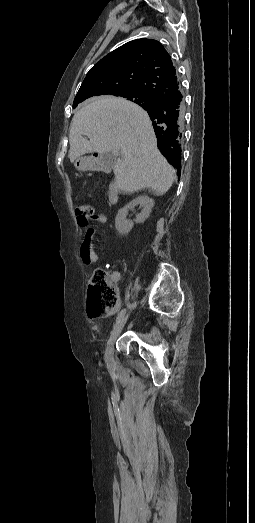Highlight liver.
Listing matches in <instances>:
<instances>
[{
    "instance_id": "obj_1",
    "label": "liver",
    "mask_w": 255,
    "mask_h": 523,
    "mask_svg": "<svg viewBox=\"0 0 255 523\" xmlns=\"http://www.w3.org/2000/svg\"><path fill=\"white\" fill-rule=\"evenodd\" d=\"M69 144L72 164L92 152H121L113 170L119 190L128 194L152 188L162 196L174 182L175 170L157 148L147 112L124 98L100 96L84 102L71 122Z\"/></svg>"
}]
</instances>
